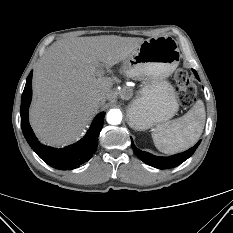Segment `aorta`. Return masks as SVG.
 <instances>
[{
	"mask_svg": "<svg viewBox=\"0 0 233 233\" xmlns=\"http://www.w3.org/2000/svg\"><path fill=\"white\" fill-rule=\"evenodd\" d=\"M122 121V113L119 109H111L107 113V122L112 125H118Z\"/></svg>",
	"mask_w": 233,
	"mask_h": 233,
	"instance_id": "1",
	"label": "aorta"
}]
</instances>
